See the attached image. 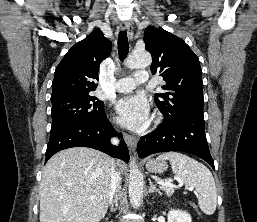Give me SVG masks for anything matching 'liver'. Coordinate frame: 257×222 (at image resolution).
<instances>
[{
  "instance_id": "1",
  "label": "liver",
  "mask_w": 257,
  "mask_h": 222,
  "mask_svg": "<svg viewBox=\"0 0 257 222\" xmlns=\"http://www.w3.org/2000/svg\"><path fill=\"white\" fill-rule=\"evenodd\" d=\"M111 161L86 147L65 149L51 157L40 183V222L101 221L108 209ZM116 166L125 167L121 161Z\"/></svg>"
}]
</instances>
